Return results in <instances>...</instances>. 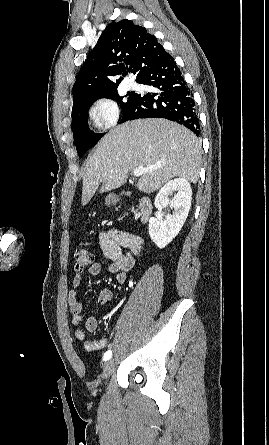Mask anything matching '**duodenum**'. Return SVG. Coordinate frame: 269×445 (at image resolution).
Segmentation results:
<instances>
[{
  "label": "duodenum",
  "mask_w": 269,
  "mask_h": 445,
  "mask_svg": "<svg viewBox=\"0 0 269 445\" xmlns=\"http://www.w3.org/2000/svg\"><path fill=\"white\" fill-rule=\"evenodd\" d=\"M151 214V203L148 198L141 197L139 199V218L142 223L148 221Z\"/></svg>",
  "instance_id": "410a0bca"
}]
</instances>
